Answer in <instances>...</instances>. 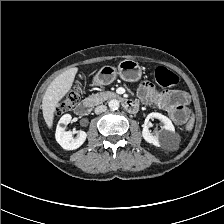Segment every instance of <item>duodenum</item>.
<instances>
[{
    "instance_id": "1",
    "label": "duodenum",
    "mask_w": 224,
    "mask_h": 224,
    "mask_svg": "<svg viewBox=\"0 0 224 224\" xmlns=\"http://www.w3.org/2000/svg\"><path fill=\"white\" fill-rule=\"evenodd\" d=\"M107 96L112 99H121V96L114 92L108 93ZM122 104L124 109L129 113H134L138 109V104L131 99H123ZM93 106H94L93 99H85L75 106L74 112L78 116H85L89 114Z\"/></svg>"
}]
</instances>
